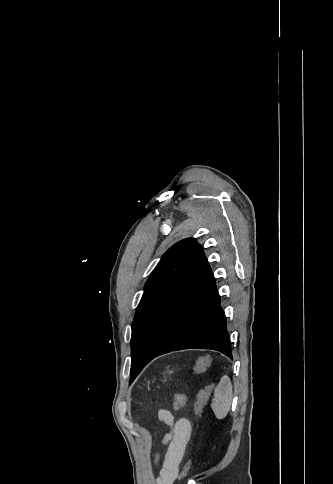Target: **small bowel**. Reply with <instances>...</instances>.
Wrapping results in <instances>:
<instances>
[{
  "label": "small bowel",
  "mask_w": 333,
  "mask_h": 484,
  "mask_svg": "<svg viewBox=\"0 0 333 484\" xmlns=\"http://www.w3.org/2000/svg\"><path fill=\"white\" fill-rule=\"evenodd\" d=\"M158 417L170 430L164 435L166 454L156 480V484H173L178 475L179 464L184 456L191 435V423L187 418L175 419L167 409H160Z\"/></svg>",
  "instance_id": "c3829d8e"
}]
</instances>
